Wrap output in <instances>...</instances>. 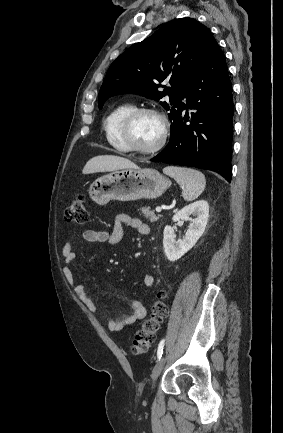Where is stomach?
<instances>
[{
  "label": "stomach",
  "mask_w": 283,
  "mask_h": 433,
  "mask_svg": "<svg viewBox=\"0 0 283 433\" xmlns=\"http://www.w3.org/2000/svg\"><path fill=\"white\" fill-rule=\"evenodd\" d=\"M170 186V180L155 168L117 170L96 178L90 184L89 194L97 204L109 200H139L157 198Z\"/></svg>",
  "instance_id": "1"
}]
</instances>
